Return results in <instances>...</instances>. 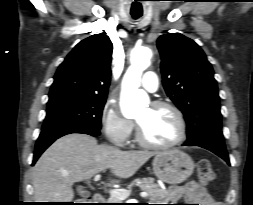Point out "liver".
Wrapping results in <instances>:
<instances>
[{"label":"liver","instance_id":"obj_1","mask_svg":"<svg viewBox=\"0 0 253 205\" xmlns=\"http://www.w3.org/2000/svg\"><path fill=\"white\" fill-rule=\"evenodd\" d=\"M154 154L98 145L95 138L86 134L63 136L42 154L32 170L34 199L71 202L75 182L88 180L108 168L117 178H129Z\"/></svg>","mask_w":253,"mask_h":205}]
</instances>
